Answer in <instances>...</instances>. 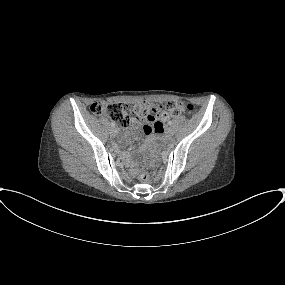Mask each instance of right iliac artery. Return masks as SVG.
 Returning <instances> with one entry per match:
<instances>
[{
  "instance_id": "82829eb1",
  "label": "right iliac artery",
  "mask_w": 285,
  "mask_h": 285,
  "mask_svg": "<svg viewBox=\"0 0 285 285\" xmlns=\"http://www.w3.org/2000/svg\"><path fill=\"white\" fill-rule=\"evenodd\" d=\"M111 126L114 128V127H115V123H114V122H111Z\"/></svg>"
}]
</instances>
